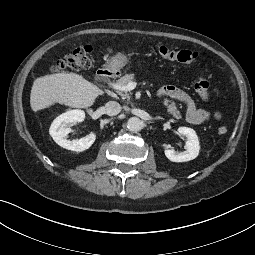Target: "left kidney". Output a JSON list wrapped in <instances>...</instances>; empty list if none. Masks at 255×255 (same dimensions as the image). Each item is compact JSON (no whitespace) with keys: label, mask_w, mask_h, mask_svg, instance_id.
Listing matches in <instances>:
<instances>
[{"label":"left kidney","mask_w":255,"mask_h":255,"mask_svg":"<svg viewBox=\"0 0 255 255\" xmlns=\"http://www.w3.org/2000/svg\"><path fill=\"white\" fill-rule=\"evenodd\" d=\"M178 133L186 137V150L183 152H177L173 149H165V156L173 162H186L195 159L200 150L199 140L196 132L192 128L179 127Z\"/></svg>","instance_id":"left-kidney-1"}]
</instances>
